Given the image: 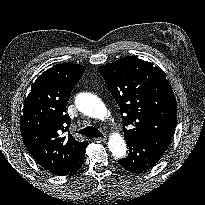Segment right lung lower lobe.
I'll list each match as a JSON object with an SVG mask.
<instances>
[{"mask_svg":"<svg viewBox=\"0 0 205 205\" xmlns=\"http://www.w3.org/2000/svg\"><path fill=\"white\" fill-rule=\"evenodd\" d=\"M85 154L78 156L73 161H71L65 168H63L61 171L55 173L56 175L62 176V175H68L73 173L76 169H78L84 160Z\"/></svg>","mask_w":205,"mask_h":205,"instance_id":"right-lung-lower-lobe-1","label":"right lung lower lobe"}]
</instances>
